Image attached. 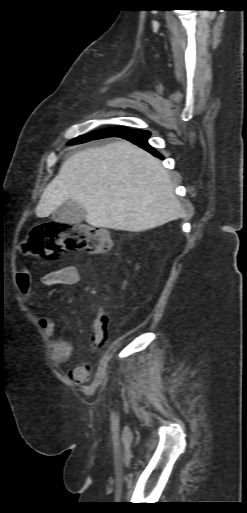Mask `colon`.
I'll use <instances>...</instances> for the list:
<instances>
[{
    "label": "colon",
    "mask_w": 247,
    "mask_h": 513,
    "mask_svg": "<svg viewBox=\"0 0 247 513\" xmlns=\"http://www.w3.org/2000/svg\"><path fill=\"white\" fill-rule=\"evenodd\" d=\"M112 246V238L102 229L84 224L47 221L31 230L23 249L25 252L53 260L69 249L100 254L108 252ZM108 323V315L100 312L91 331V344L94 348L106 343Z\"/></svg>",
    "instance_id": "5ec220e1"
}]
</instances>
